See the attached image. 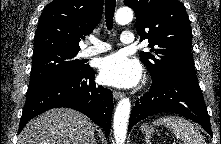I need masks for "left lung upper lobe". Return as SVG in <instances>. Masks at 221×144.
Segmentation results:
<instances>
[{"label":"left lung upper lobe","mask_w":221,"mask_h":144,"mask_svg":"<svg viewBox=\"0 0 221 144\" xmlns=\"http://www.w3.org/2000/svg\"><path fill=\"white\" fill-rule=\"evenodd\" d=\"M136 14L141 41H150V52L140 60L152 77L178 74L197 79L191 55L192 30L185 6L178 0H124Z\"/></svg>","instance_id":"obj_1"}]
</instances>
